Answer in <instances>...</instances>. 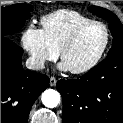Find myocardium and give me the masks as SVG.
Masks as SVG:
<instances>
[{
    "mask_svg": "<svg viewBox=\"0 0 123 123\" xmlns=\"http://www.w3.org/2000/svg\"><path fill=\"white\" fill-rule=\"evenodd\" d=\"M96 25L101 26L104 29L105 32L104 44L101 50L99 51V53L97 54V56L89 64L78 69H68L72 74L79 75V74L87 73L98 65V63L105 55L110 43L111 34L108 26L101 21H95V20L83 24L72 33V35L67 39V41L62 45L61 49L59 50V57L63 62L65 54L75 45L81 34L88 28Z\"/></svg>",
    "mask_w": 123,
    "mask_h": 123,
    "instance_id": "myocardium-1",
    "label": "myocardium"
}]
</instances>
